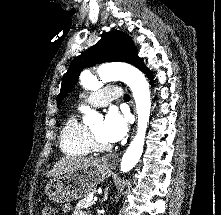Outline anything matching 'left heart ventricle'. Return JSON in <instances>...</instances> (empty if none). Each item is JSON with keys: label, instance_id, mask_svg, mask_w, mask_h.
Wrapping results in <instances>:
<instances>
[{"label": "left heart ventricle", "instance_id": "left-heart-ventricle-1", "mask_svg": "<svg viewBox=\"0 0 221 215\" xmlns=\"http://www.w3.org/2000/svg\"><path fill=\"white\" fill-rule=\"evenodd\" d=\"M101 127H102V122H98L95 125H93L91 127V130L94 132V134L96 135V137L98 138V140L102 143H106L100 135V131H101Z\"/></svg>", "mask_w": 221, "mask_h": 215}]
</instances>
